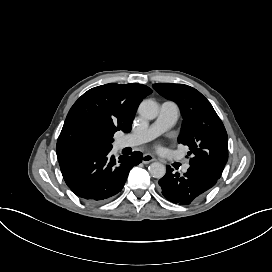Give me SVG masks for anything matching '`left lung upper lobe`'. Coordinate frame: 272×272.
Here are the masks:
<instances>
[{
  "instance_id": "left-lung-upper-lobe-1",
  "label": "left lung upper lobe",
  "mask_w": 272,
  "mask_h": 272,
  "mask_svg": "<svg viewBox=\"0 0 272 272\" xmlns=\"http://www.w3.org/2000/svg\"><path fill=\"white\" fill-rule=\"evenodd\" d=\"M153 88L180 107L184 120L178 142L189 147L190 166L220 178L228 160V136L210 102L184 84L158 83Z\"/></svg>"
}]
</instances>
